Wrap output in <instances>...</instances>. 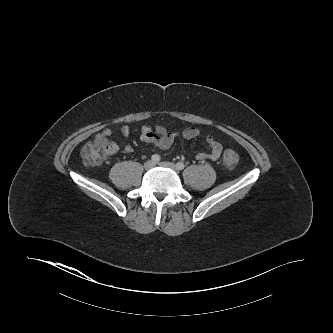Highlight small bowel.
Instances as JSON below:
<instances>
[{
	"label": "small bowel",
	"mask_w": 333,
	"mask_h": 333,
	"mask_svg": "<svg viewBox=\"0 0 333 333\" xmlns=\"http://www.w3.org/2000/svg\"><path fill=\"white\" fill-rule=\"evenodd\" d=\"M114 133L115 131L113 129L106 128L96 135L95 140L104 141L108 144V155H113L119 150L124 153L132 152L133 149L131 146L127 145L124 147H119L115 142L109 140V138ZM118 133L124 137H127L130 134V128L128 126H122L118 130ZM199 135L200 131L194 127L185 128L180 132H171L162 125H156L155 127L143 126L141 129L142 142L156 146L163 150L169 149L178 137H182L186 140H191ZM206 144L207 150L197 153L195 156L196 160H217L222 152L221 143L214 139L211 135H207Z\"/></svg>",
	"instance_id": "obj_1"
}]
</instances>
